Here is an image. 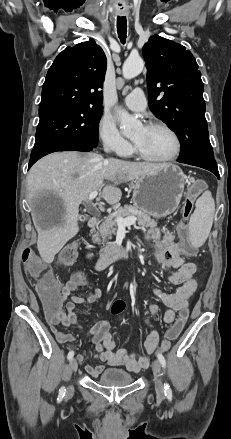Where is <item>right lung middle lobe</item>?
Instances as JSON below:
<instances>
[{"label":"right lung middle lobe","mask_w":231,"mask_h":439,"mask_svg":"<svg viewBox=\"0 0 231 439\" xmlns=\"http://www.w3.org/2000/svg\"><path fill=\"white\" fill-rule=\"evenodd\" d=\"M103 108H72L40 117L34 149L75 143L96 147Z\"/></svg>","instance_id":"right-lung-middle-lobe-1"}]
</instances>
